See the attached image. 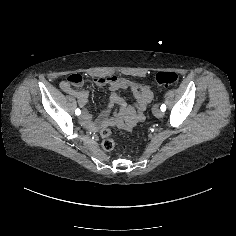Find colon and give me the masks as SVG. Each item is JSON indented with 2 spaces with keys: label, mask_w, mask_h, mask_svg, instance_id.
Instances as JSON below:
<instances>
[{
  "label": "colon",
  "mask_w": 236,
  "mask_h": 236,
  "mask_svg": "<svg viewBox=\"0 0 236 236\" xmlns=\"http://www.w3.org/2000/svg\"><path fill=\"white\" fill-rule=\"evenodd\" d=\"M67 81L73 86H80L83 84L84 79L80 74H71L68 76ZM103 81H106L103 79ZM178 82V76L175 72L163 71L159 72L155 77V83L160 86H172ZM102 138V147L105 151H111L114 148V141L111 138L110 131L103 129L100 133Z\"/></svg>",
  "instance_id": "5ec220e1"
}]
</instances>
